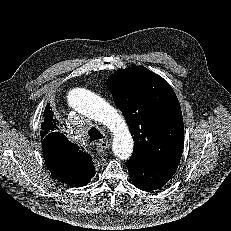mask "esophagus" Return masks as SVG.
Here are the masks:
<instances>
[{
    "mask_svg": "<svg viewBox=\"0 0 231 231\" xmlns=\"http://www.w3.org/2000/svg\"><path fill=\"white\" fill-rule=\"evenodd\" d=\"M96 150L99 153L106 152L110 147V142L108 140H100L96 143Z\"/></svg>",
    "mask_w": 231,
    "mask_h": 231,
    "instance_id": "obj_1",
    "label": "esophagus"
}]
</instances>
